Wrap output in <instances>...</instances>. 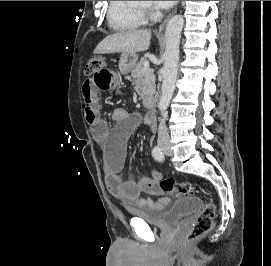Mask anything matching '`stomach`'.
<instances>
[{"label": "stomach", "mask_w": 271, "mask_h": 266, "mask_svg": "<svg viewBox=\"0 0 271 266\" xmlns=\"http://www.w3.org/2000/svg\"><path fill=\"white\" fill-rule=\"evenodd\" d=\"M138 56L135 53H122L119 61V70L121 74L129 73L137 63Z\"/></svg>", "instance_id": "1"}]
</instances>
